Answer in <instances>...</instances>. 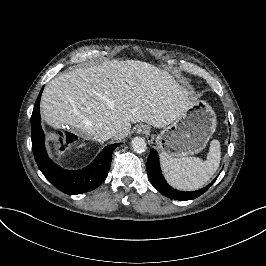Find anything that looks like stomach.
<instances>
[{"mask_svg":"<svg viewBox=\"0 0 266 266\" xmlns=\"http://www.w3.org/2000/svg\"><path fill=\"white\" fill-rule=\"evenodd\" d=\"M216 127L214 110L206 101L198 100L180 118L165 126L155 143L162 152L175 158L198 154L206 147Z\"/></svg>","mask_w":266,"mask_h":266,"instance_id":"stomach-1","label":"stomach"}]
</instances>
